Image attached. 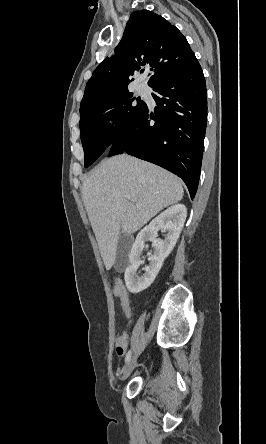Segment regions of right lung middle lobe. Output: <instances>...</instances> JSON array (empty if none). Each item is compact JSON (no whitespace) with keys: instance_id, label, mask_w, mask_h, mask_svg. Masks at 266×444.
Masks as SVG:
<instances>
[{"instance_id":"1","label":"right lung middle lobe","mask_w":266,"mask_h":444,"mask_svg":"<svg viewBox=\"0 0 266 444\" xmlns=\"http://www.w3.org/2000/svg\"><path fill=\"white\" fill-rule=\"evenodd\" d=\"M137 101V102H135ZM147 104L127 89L98 97L80 106V131L85 167L113 143L117 135L145 110ZM113 119L115 127L108 125Z\"/></svg>"}]
</instances>
